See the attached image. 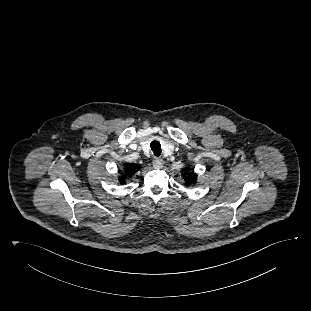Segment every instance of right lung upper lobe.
Here are the masks:
<instances>
[{"label": "right lung upper lobe", "mask_w": 311, "mask_h": 311, "mask_svg": "<svg viewBox=\"0 0 311 311\" xmlns=\"http://www.w3.org/2000/svg\"><path fill=\"white\" fill-rule=\"evenodd\" d=\"M140 169V166L137 164H124V171H123V177H130L134 175L138 170ZM122 184L125 183L124 180H120Z\"/></svg>", "instance_id": "1"}]
</instances>
